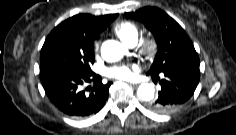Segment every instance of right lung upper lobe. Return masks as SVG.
<instances>
[{"label": "right lung upper lobe", "mask_w": 236, "mask_h": 135, "mask_svg": "<svg viewBox=\"0 0 236 135\" xmlns=\"http://www.w3.org/2000/svg\"><path fill=\"white\" fill-rule=\"evenodd\" d=\"M117 16L118 14H109L102 16L79 14L63 21L55 28L61 26H71L79 29L80 31L91 37L96 38L100 32H102L113 20L116 19Z\"/></svg>", "instance_id": "1"}]
</instances>
